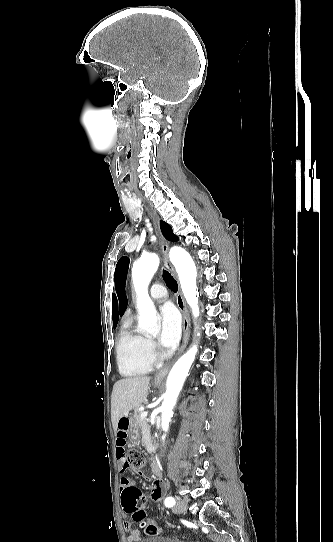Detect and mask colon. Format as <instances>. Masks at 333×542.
<instances>
[{
  "mask_svg": "<svg viewBox=\"0 0 333 542\" xmlns=\"http://www.w3.org/2000/svg\"><path fill=\"white\" fill-rule=\"evenodd\" d=\"M129 469L137 473H141L145 465V454L141 451H131L129 453ZM143 499V490L138 488L136 483H130V485L122 490V496L120 501L123 505V512L125 516H131L132 520L145 530L147 534L156 536V529L151 525L153 518L147 516V513L143 509L138 508L137 500Z\"/></svg>",
  "mask_w": 333,
  "mask_h": 542,
  "instance_id": "colon-1",
  "label": "colon"
}]
</instances>
